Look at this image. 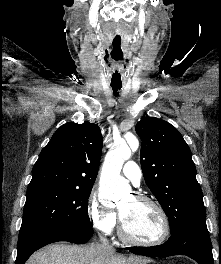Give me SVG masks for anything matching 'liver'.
Returning <instances> with one entry per match:
<instances>
[{
    "label": "liver",
    "mask_w": 221,
    "mask_h": 264,
    "mask_svg": "<svg viewBox=\"0 0 221 264\" xmlns=\"http://www.w3.org/2000/svg\"><path fill=\"white\" fill-rule=\"evenodd\" d=\"M149 261L141 256L117 255L98 244H53L34 253L26 264H147Z\"/></svg>",
    "instance_id": "obj_1"
}]
</instances>
